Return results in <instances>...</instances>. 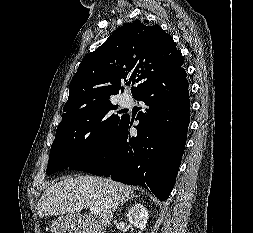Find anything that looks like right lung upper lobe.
Listing matches in <instances>:
<instances>
[{
	"mask_svg": "<svg viewBox=\"0 0 253 233\" xmlns=\"http://www.w3.org/2000/svg\"><path fill=\"white\" fill-rule=\"evenodd\" d=\"M184 62L173 38L159 25L134 20L117 28L107 41L81 61L69 86L63 118L108 101L126 78L137 83L135 97L153 80L180 68Z\"/></svg>",
	"mask_w": 253,
	"mask_h": 233,
	"instance_id": "right-lung-upper-lobe-1",
	"label": "right lung upper lobe"
}]
</instances>
